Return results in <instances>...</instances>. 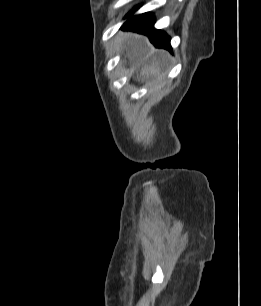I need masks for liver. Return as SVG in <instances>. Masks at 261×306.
<instances>
[{"label": "liver", "instance_id": "6515ba94", "mask_svg": "<svg viewBox=\"0 0 261 306\" xmlns=\"http://www.w3.org/2000/svg\"><path fill=\"white\" fill-rule=\"evenodd\" d=\"M159 73L160 72H159V67H158L157 63L153 62V64L151 66L144 65V67L142 69V72H141V75L143 77H145V76L148 77L149 75H151V76L158 75V78H159Z\"/></svg>", "mask_w": 261, "mask_h": 306}]
</instances>
